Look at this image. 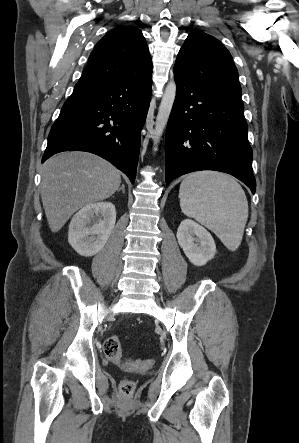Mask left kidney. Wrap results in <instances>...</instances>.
Returning a JSON list of instances; mask_svg holds the SVG:
<instances>
[{
  "mask_svg": "<svg viewBox=\"0 0 299 443\" xmlns=\"http://www.w3.org/2000/svg\"><path fill=\"white\" fill-rule=\"evenodd\" d=\"M180 247L191 263L203 266L214 258L216 245L211 234L193 220L181 222L177 230Z\"/></svg>",
  "mask_w": 299,
  "mask_h": 443,
  "instance_id": "left-kidney-1",
  "label": "left kidney"
}]
</instances>
